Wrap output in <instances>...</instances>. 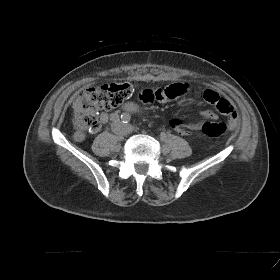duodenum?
<instances>
[{"instance_id":"1","label":"duodenum","mask_w":280,"mask_h":280,"mask_svg":"<svg viewBox=\"0 0 280 280\" xmlns=\"http://www.w3.org/2000/svg\"><path fill=\"white\" fill-rule=\"evenodd\" d=\"M123 108L127 111H137V107L132 103L125 104Z\"/></svg>"}]
</instances>
